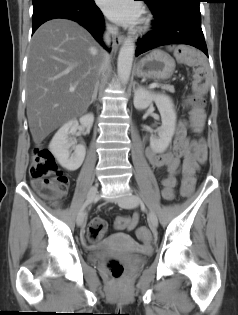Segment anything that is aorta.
Masks as SVG:
<instances>
[{
    "instance_id": "762f6f07",
    "label": "aorta",
    "mask_w": 238,
    "mask_h": 315,
    "mask_svg": "<svg viewBox=\"0 0 238 315\" xmlns=\"http://www.w3.org/2000/svg\"><path fill=\"white\" fill-rule=\"evenodd\" d=\"M134 54L135 43L133 39L129 37L120 48L117 61L118 76L123 84H127L129 81Z\"/></svg>"
}]
</instances>
